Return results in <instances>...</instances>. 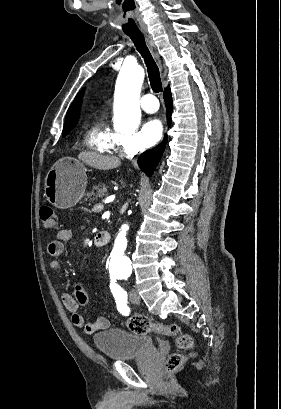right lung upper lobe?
Segmentation results:
<instances>
[{
  "mask_svg": "<svg viewBox=\"0 0 281 409\" xmlns=\"http://www.w3.org/2000/svg\"><path fill=\"white\" fill-rule=\"evenodd\" d=\"M80 104H72L66 114L65 125H76L79 118Z\"/></svg>",
  "mask_w": 281,
  "mask_h": 409,
  "instance_id": "1",
  "label": "right lung upper lobe"
}]
</instances>
